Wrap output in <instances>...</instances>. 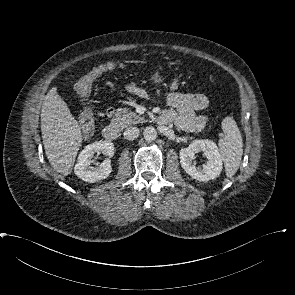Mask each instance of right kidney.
I'll list each match as a JSON object with an SVG mask.
<instances>
[{"label": "right kidney", "mask_w": 295, "mask_h": 295, "mask_svg": "<svg viewBox=\"0 0 295 295\" xmlns=\"http://www.w3.org/2000/svg\"><path fill=\"white\" fill-rule=\"evenodd\" d=\"M100 151L104 155L112 157L114 145L110 141H97L87 145L79 154L74 173L85 182L93 183L107 178L112 172L110 159L104 160L98 167H92V157Z\"/></svg>", "instance_id": "ca27d5eb"}]
</instances>
